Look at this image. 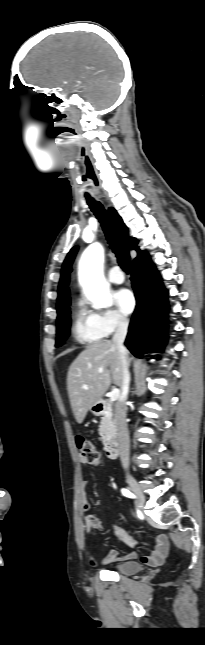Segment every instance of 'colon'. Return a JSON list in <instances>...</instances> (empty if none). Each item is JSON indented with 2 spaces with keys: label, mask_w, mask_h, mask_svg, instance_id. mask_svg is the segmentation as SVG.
I'll return each mask as SVG.
<instances>
[{
  "label": "colon",
  "mask_w": 205,
  "mask_h": 645,
  "mask_svg": "<svg viewBox=\"0 0 205 645\" xmlns=\"http://www.w3.org/2000/svg\"><path fill=\"white\" fill-rule=\"evenodd\" d=\"M76 445L79 450V453L81 457L89 464H97L100 461V454L98 450L96 449L94 443L83 437V436H77L76 437ZM86 522L87 525L91 528H96L98 527L99 523L97 519L92 516L88 515L86 517Z\"/></svg>",
  "instance_id": "1"
}]
</instances>
